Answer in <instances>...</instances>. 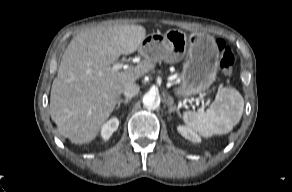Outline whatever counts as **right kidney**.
<instances>
[{
    "instance_id": "1",
    "label": "right kidney",
    "mask_w": 292,
    "mask_h": 192,
    "mask_svg": "<svg viewBox=\"0 0 292 192\" xmlns=\"http://www.w3.org/2000/svg\"><path fill=\"white\" fill-rule=\"evenodd\" d=\"M119 120L117 118H111L101 129V136L104 140H108L114 131L118 129Z\"/></svg>"
}]
</instances>
